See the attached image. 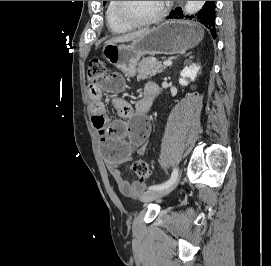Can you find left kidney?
<instances>
[{
  "label": "left kidney",
  "mask_w": 271,
  "mask_h": 266,
  "mask_svg": "<svg viewBox=\"0 0 271 266\" xmlns=\"http://www.w3.org/2000/svg\"><path fill=\"white\" fill-rule=\"evenodd\" d=\"M200 70V66L192 64L186 66L180 73L179 84L182 86L188 85L189 81H194Z\"/></svg>",
  "instance_id": "left-kidney-1"
}]
</instances>
